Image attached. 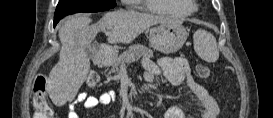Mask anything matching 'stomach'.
<instances>
[{
  "label": "stomach",
  "instance_id": "obj_1",
  "mask_svg": "<svg viewBox=\"0 0 273 118\" xmlns=\"http://www.w3.org/2000/svg\"><path fill=\"white\" fill-rule=\"evenodd\" d=\"M188 37L186 29L177 23H162L150 29L149 42L152 48L165 54L178 51Z\"/></svg>",
  "mask_w": 273,
  "mask_h": 118
}]
</instances>
